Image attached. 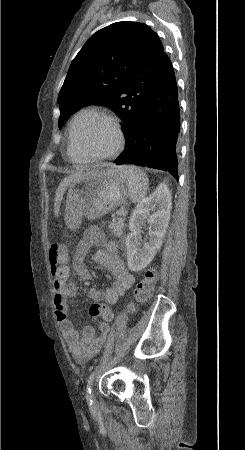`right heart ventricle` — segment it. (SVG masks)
<instances>
[{
  "label": "right heart ventricle",
  "mask_w": 245,
  "mask_h": 450,
  "mask_svg": "<svg viewBox=\"0 0 245 450\" xmlns=\"http://www.w3.org/2000/svg\"><path fill=\"white\" fill-rule=\"evenodd\" d=\"M95 112H97V111L94 110V109L86 108V109H83V110L79 111L75 115L74 118H86V117H88L89 115H91V114H93ZM67 153H68V156L70 157V159H72L75 162H81V161L84 160V159L80 158L75 152H73L71 150L70 143H69V136H68V144H67Z\"/></svg>",
  "instance_id": "1"
}]
</instances>
